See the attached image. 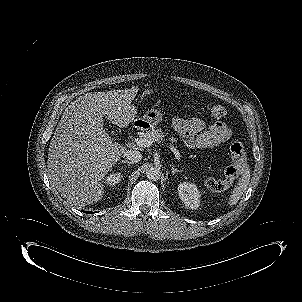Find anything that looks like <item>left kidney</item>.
<instances>
[{"label": "left kidney", "mask_w": 302, "mask_h": 302, "mask_svg": "<svg viewBox=\"0 0 302 302\" xmlns=\"http://www.w3.org/2000/svg\"><path fill=\"white\" fill-rule=\"evenodd\" d=\"M178 194L184 205L189 209H197L200 205V192L196 184L180 182Z\"/></svg>", "instance_id": "left-kidney-1"}]
</instances>
